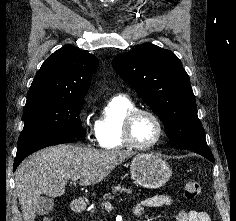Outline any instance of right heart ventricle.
Returning a JSON list of instances; mask_svg holds the SVG:
<instances>
[{
    "label": "right heart ventricle",
    "mask_w": 236,
    "mask_h": 221,
    "mask_svg": "<svg viewBox=\"0 0 236 221\" xmlns=\"http://www.w3.org/2000/svg\"><path fill=\"white\" fill-rule=\"evenodd\" d=\"M137 108L127 95L119 94L111 97L100 111L96 122L97 141L105 150H121L127 148L122 136L125 116Z\"/></svg>",
    "instance_id": "right-heart-ventricle-1"
}]
</instances>
